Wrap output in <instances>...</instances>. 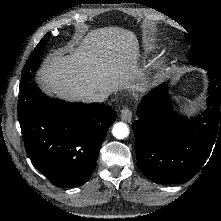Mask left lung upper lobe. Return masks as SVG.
I'll list each match as a JSON object with an SVG mask.
<instances>
[{
    "label": "left lung upper lobe",
    "mask_w": 221,
    "mask_h": 221,
    "mask_svg": "<svg viewBox=\"0 0 221 221\" xmlns=\"http://www.w3.org/2000/svg\"><path fill=\"white\" fill-rule=\"evenodd\" d=\"M186 39L192 43V47L189 50V61L195 65L199 66L200 68L206 69V70H212V67L210 65V62L204 52V50L195 43L189 35L185 34Z\"/></svg>",
    "instance_id": "obj_1"
}]
</instances>
